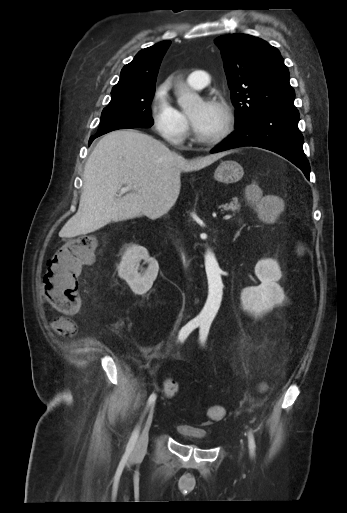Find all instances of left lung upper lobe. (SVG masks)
Here are the masks:
<instances>
[{
    "label": "left lung upper lobe",
    "mask_w": 347,
    "mask_h": 513,
    "mask_svg": "<svg viewBox=\"0 0 347 513\" xmlns=\"http://www.w3.org/2000/svg\"><path fill=\"white\" fill-rule=\"evenodd\" d=\"M221 49L236 126L265 111L295 110V92L280 52L266 41L246 34L215 39Z\"/></svg>",
    "instance_id": "1"
}]
</instances>
